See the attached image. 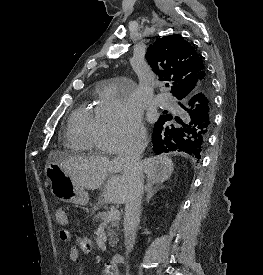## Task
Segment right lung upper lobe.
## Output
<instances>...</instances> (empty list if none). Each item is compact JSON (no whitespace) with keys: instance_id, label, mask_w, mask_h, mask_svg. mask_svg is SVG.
Here are the masks:
<instances>
[{"instance_id":"obj_1","label":"right lung upper lobe","mask_w":263,"mask_h":275,"mask_svg":"<svg viewBox=\"0 0 263 275\" xmlns=\"http://www.w3.org/2000/svg\"><path fill=\"white\" fill-rule=\"evenodd\" d=\"M146 59L160 81H172L176 97L198 91L208 80L195 48L178 34L158 38L150 45ZM209 126L213 121V98L209 102Z\"/></svg>"}]
</instances>
